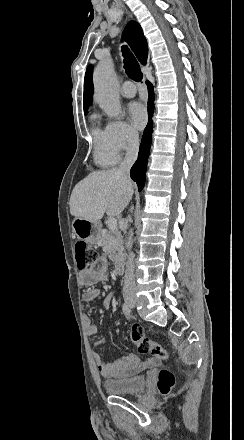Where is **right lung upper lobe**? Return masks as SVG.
Segmentation results:
<instances>
[{"instance_id": "cb5924a9", "label": "right lung upper lobe", "mask_w": 244, "mask_h": 440, "mask_svg": "<svg viewBox=\"0 0 244 440\" xmlns=\"http://www.w3.org/2000/svg\"><path fill=\"white\" fill-rule=\"evenodd\" d=\"M122 38L129 43L138 60L141 61V63L145 64L148 56V45L140 24L135 21H130L122 34ZM92 75L93 67L89 65L87 67L84 78V111L89 108L92 102Z\"/></svg>"}]
</instances>
